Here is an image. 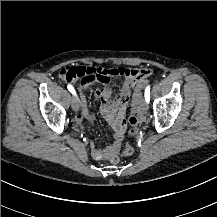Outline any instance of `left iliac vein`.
<instances>
[{
	"mask_svg": "<svg viewBox=\"0 0 217 217\" xmlns=\"http://www.w3.org/2000/svg\"><path fill=\"white\" fill-rule=\"evenodd\" d=\"M140 107L143 111H147L148 110V103L144 99H142L140 102Z\"/></svg>",
	"mask_w": 217,
	"mask_h": 217,
	"instance_id": "4c4485c4",
	"label": "left iliac vein"
}]
</instances>
